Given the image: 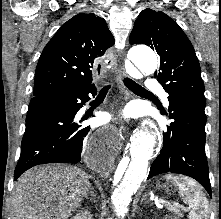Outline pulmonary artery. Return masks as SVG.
I'll return each instance as SVG.
<instances>
[{"label":"pulmonary artery","mask_w":221,"mask_h":219,"mask_svg":"<svg viewBox=\"0 0 221 219\" xmlns=\"http://www.w3.org/2000/svg\"><path fill=\"white\" fill-rule=\"evenodd\" d=\"M147 91L150 92L152 95H156V94L161 95L164 103L166 105L169 104L167 94L164 92L162 85L156 79L154 78L148 79Z\"/></svg>","instance_id":"1"}]
</instances>
